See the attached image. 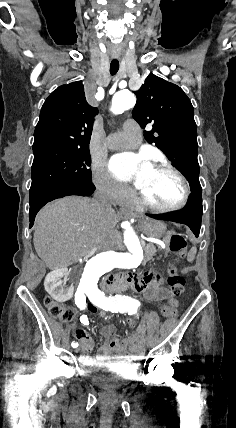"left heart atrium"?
<instances>
[{
    "label": "left heart atrium",
    "mask_w": 236,
    "mask_h": 428,
    "mask_svg": "<svg viewBox=\"0 0 236 428\" xmlns=\"http://www.w3.org/2000/svg\"><path fill=\"white\" fill-rule=\"evenodd\" d=\"M109 169L118 179L132 181L140 188L144 175L152 170V164L145 157L122 154L111 159Z\"/></svg>",
    "instance_id": "39dd6f15"
}]
</instances>
